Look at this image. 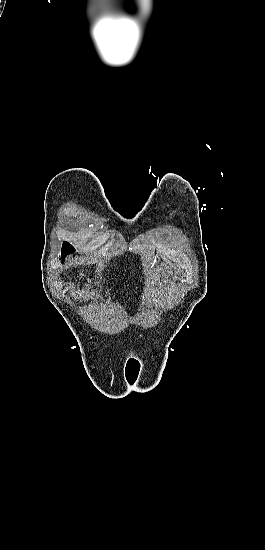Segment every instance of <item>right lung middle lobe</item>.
<instances>
[{
    "mask_svg": "<svg viewBox=\"0 0 265 550\" xmlns=\"http://www.w3.org/2000/svg\"><path fill=\"white\" fill-rule=\"evenodd\" d=\"M73 252H75L74 247L68 242H64L61 250L62 263L64 262L65 257Z\"/></svg>",
    "mask_w": 265,
    "mask_h": 550,
    "instance_id": "right-lung-middle-lobe-1",
    "label": "right lung middle lobe"
}]
</instances>
